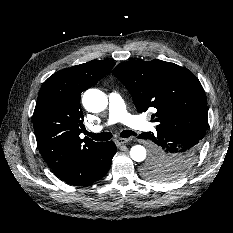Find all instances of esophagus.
Returning <instances> with one entry per match:
<instances>
[{
    "label": "esophagus",
    "instance_id": "34e87169",
    "mask_svg": "<svg viewBox=\"0 0 233 233\" xmlns=\"http://www.w3.org/2000/svg\"><path fill=\"white\" fill-rule=\"evenodd\" d=\"M129 140L130 139H126V138H118V139H116L115 143L119 147V146L127 143Z\"/></svg>",
    "mask_w": 233,
    "mask_h": 233
}]
</instances>
